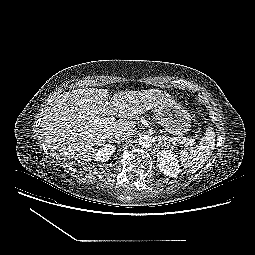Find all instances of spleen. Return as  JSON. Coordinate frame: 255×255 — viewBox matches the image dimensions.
I'll return each instance as SVG.
<instances>
[{"mask_svg": "<svg viewBox=\"0 0 255 255\" xmlns=\"http://www.w3.org/2000/svg\"><path fill=\"white\" fill-rule=\"evenodd\" d=\"M215 148V132L213 127H208L205 136L196 147L187 148L179 153L182 165L190 172H196L211 156Z\"/></svg>", "mask_w": 255, "mask_h": 255, "instance_id": "3e777b00", "label": "spleen"}]
</instances>
